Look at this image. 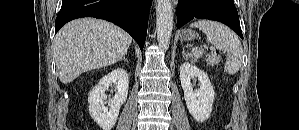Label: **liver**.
I'll list each match as a JSON object with an SVG mask.
<instances>
[{"mask_svg": "<svg viewBox=\"0 0 299 130\" xmlns=\"http://www.w3.org/2000/svg\"><path fill=\"white\" fill-rule=\"evenodd\" d=\"M131 43L128 33L104 20L82 18L67 23L53 44L60 81L69 84L84 72L118 62Z\"/></svg>", "mask_w": 299, "mask_h": 130, "instance_id": "obj_1", "label": "liver"}]
</instances>
